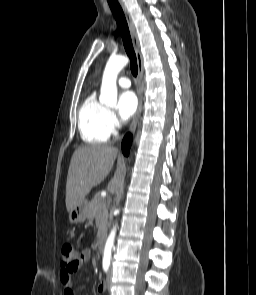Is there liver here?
Here are the masks:
<instances>
[{"label": "liver", "instance_id": "6515ba94", "mask_svg": "<svg viewBox=\"0 0 256 295\" xmlns=\"http://www.w3.org/2000/svg\"><path fill=\"white\" fill-rule=\"evenodd\" d=\"M117 156V169L107 187L111 193L116 192L121 179L123 160L118 155V149L110 145L95 144L75 150L66 182L65 202L68 212L107 177Z\"/></svg>", "mask_w": 256, "mask_h": 295}]
</instances>
